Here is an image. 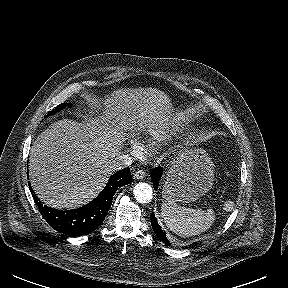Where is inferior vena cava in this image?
Returning a JSON list of instances; mask_svg holds the SVG:
<instances>
[{"label":"inferior vena cava","mask_w":288,"mask_h":288,"mask_svg":"<svg viewBox=\"0 0 288 288\" xmlns=\"http://www.w3.org/2000/svg\"><path fill=\"white\" fill-rule=\"evenodd\" d=\"M133 162V159L129 155H117L113 161L110 162V169L115 172L120 169L126 168L130 166Z\"/></svg>","instance_id":"1"}]
</instances>
